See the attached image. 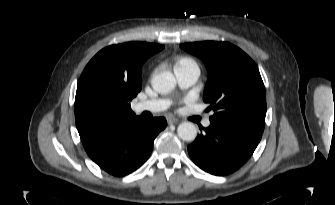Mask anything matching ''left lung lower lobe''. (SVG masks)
Returning <instances> with one entry per match:
<instances>
[{"mask_svg":"<svg viewBox=\"0 0 335 205\" xmlns=\"http://www.w3.org/2000/svg\"><path fill=\"white\" fill-rule=\"evenodd\" d=\"M210 122V126L188 146L189 155L208 173L230 174L250 158L262 133L223 120L210 119Z\"/></svg>","mask_w":335,"mask_h":205,"instance_id":"obj_1","label":"left lung lower lobe"}]
</instances>
